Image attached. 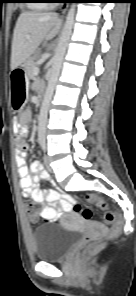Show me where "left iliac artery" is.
<instances>
[{
	"label": "left iliac artery",
	"mask_w": 136,
	"mask_h": 296,
	"mask_svg": "<svg viewBox=\"0 0 136 296\" xmlns=\"http://www.w3.org/2000/svg\"><path fill=\"white\" fill-rule=\"evenodd\" d=\"M41 146H42V149L45 151V149H46L45 143L41 144Z\"/></svg>",
	"instance_id": "obj_1"
}]
</instances>
